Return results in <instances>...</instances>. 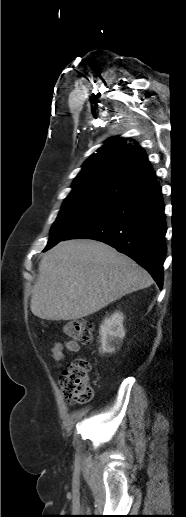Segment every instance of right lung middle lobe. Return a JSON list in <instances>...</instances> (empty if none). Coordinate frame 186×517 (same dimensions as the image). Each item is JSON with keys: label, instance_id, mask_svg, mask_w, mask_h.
Segmentation results:
<instances>
[{"label": "right lung middle lobe", "instance_id": "dd1d6c3e", "mask_svg": "<svg viewBox=\"0 0 186 517\" xmlns=\"http://www.w3.org/2000/svg\"><path fill=\"white\" fill-rule=\"evenodd\" d=\"M116 201L91 196L67 197L51 228L50 238L44 251L64 240L77 228L108 209Z\"/></svg>", "mask_w": 186, "mask_h": 517}]
</instances>
